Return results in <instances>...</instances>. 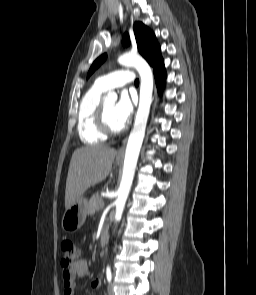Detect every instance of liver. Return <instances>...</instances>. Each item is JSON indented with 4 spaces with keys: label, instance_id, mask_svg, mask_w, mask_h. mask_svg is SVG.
Here are the masks:
<instances>
[{
    "label": "liver",
    "instance_id": "1",
    "mask_svg": "<svg viewBox=\"0 0 256 295\" xmlns=\"http://www.w3.org/2000/svg\"><path fill=\"white\" fill-rule=\"evenodd\" d=\"M116 150L106 145H94L74 151L67 175L65 208H69L92 186L110 173Z\"/></svg>",
    "mask_w": 256,
    "mask_h": 295
}]
</instances>
